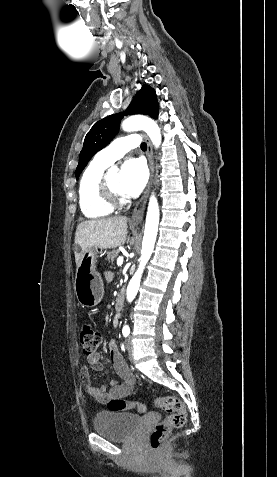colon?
Masks as SVG:
<instances>
[{
  "instance_id": "obj_1",
  "label": "colon",
  "mask_w": 277,
  "mask_h": 477,
  "mask_svg": "<svg viewBox=\"0 0 277 477\" xmlns=\"http://www.w3.org/2000/svg\"><path fill=\"white\" fill-rule=\"evenodd\" d=\"M101 333L91 324L85 323L80 329V343L85 355L94 354L100 343ZM155 405L167 413V417L152 430L149 443L153 450H160L172 429L182 427L186 422V411L182 402L176 396H165L156 399ZM108 408L112 411L137 410L145 412V405L125 399L115 398L109 401Z\"/></svg>"
}]
</instances>
